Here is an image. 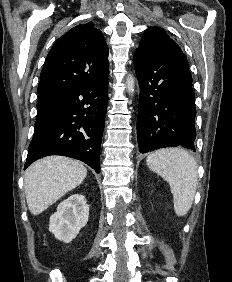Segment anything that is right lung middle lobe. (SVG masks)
Returning a JSON list of instances; mask_svg holds the SVG:
<instances>
[{
	"mask_svg": "<svg viewBox=\"0 0 232 282\" xmlns=\"http://www.w3.org/2000/svg\"><path fill=\"white\" fill-rule=\"evenodd\" d=\"M61 98L62 97L51 93L39 94L37 102V118L47 114Z\"/></svg>",
	"mask_w": 232,
	"mask_h": 282,
	"instance_id": "dd1d6c3e",
	"label": "right lung middle lobe"
}]
</instances>
